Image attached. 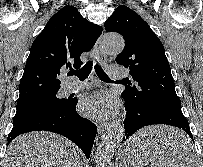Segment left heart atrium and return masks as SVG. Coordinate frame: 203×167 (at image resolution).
<instances>
[{
    "label": "left heart atrium",
    "instance_id": "left-heart-atrium-1",
    "mask_svg": "<svg viewBox=\"0 0 203 167\" xmlns=\"http://www.w3.org/2000/svg\"><path fill=\"white\" fill-rule=\"evenodd\" d=\"M80 111L89 117L108 119L116 113L117 102L109 93H97L81 101Z\"/></svg>",
    "mask_w": 203,
    "mask_h": 167
}]
</instances>
